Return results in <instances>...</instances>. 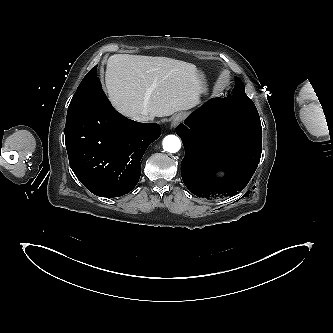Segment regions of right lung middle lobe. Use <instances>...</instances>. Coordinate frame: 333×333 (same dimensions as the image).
<instances>
[{"label": "right lung middle lobe", "instance_id": "obj_1", "mask_svg": "<svg viewBox=\"0 0 333 333\" xmlns=\"http://www.w3.org/2000/svg\"><path fill=\"white\" fill-rule=\"evenodd\" d=\"M97 66L93 67L83 78L82 82L78 86L71 102L68 107V112H71L74 109H77L79 107L83 106L84 99L89 94L91 89L100 82L99 78L96 76V70Z\"/></svg>", "mask_w": 333, "mask_h": 333}]
</instances>
